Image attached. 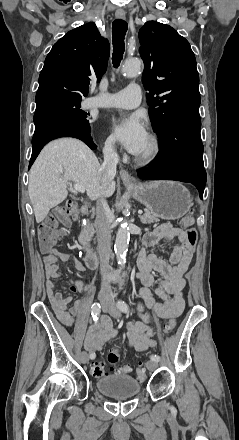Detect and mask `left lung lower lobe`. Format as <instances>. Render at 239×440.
<instances>
[{
	"label": "left lung lower lobe",
	"mask_w": 239,
	"mask_h": 440,
	"mask_svg": "<svg viewBox=\"0 0 239 440\" xmlns=\"http://www.w3.org/2000/svg\"><path fill=\"white\" fill-rule=\"evenodd\" d=\"M200 116L185 115L169 121L157 134L161 150L152 166L138 170L143 179H169L192 183L200 198L206 184Z\"/></svg>",
	"instance_id": "left-lung-lower-lobe-1"
}]
</instances>
